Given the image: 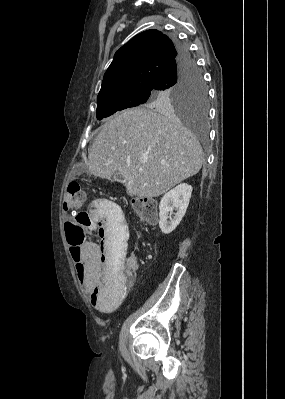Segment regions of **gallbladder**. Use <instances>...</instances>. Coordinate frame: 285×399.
<instances>
[{"instance_id": "gallbladder-1", "label": "gallbladder", "mask_w": 285, "mask_h": 399, "mask_svg": "<svg viewBox=\"0 0 285 399\" xmlns=\"http://www.w3.org/2000/svg\"><path fill=\"white\" fill-rule=\"evenodd\" d=\"M122 180H123V177L118 173H115L111 179V181H115V182H122Z\"/></svg>"}]
</instances>
